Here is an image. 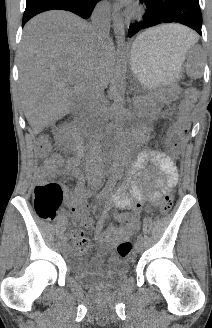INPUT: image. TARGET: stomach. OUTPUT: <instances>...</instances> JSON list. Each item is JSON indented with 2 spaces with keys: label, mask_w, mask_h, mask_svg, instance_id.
<instances>
[{
  "label": "stomach",
  "mask_w": 212,
  "mask_h": 328,
  "mask_svg": "<svg viewBox=\"0 0 212 328\" xmlns=\"http://www.w3.org/2000/svg\"><path fill=\"white\" fill-rule=\"evenodd\" d=\"M143 44L132 45L131 69L147 89H154L179 78L184 49L166 39L143 38Z\"/></svg>",
  "instance_id": "0dacf381"
}]
</instances>
